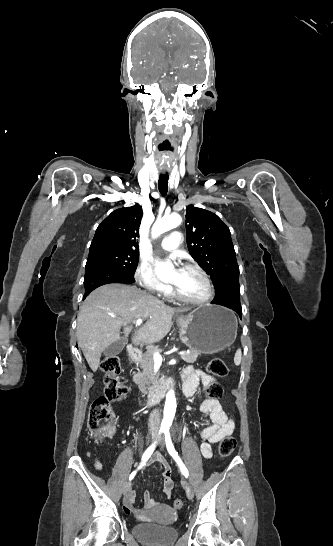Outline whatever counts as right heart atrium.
<instances>
[{
    "label": "right heart atrium",
    "mask_w": 333,
    "mask_h": 546,
    "mask_svg": "<svg viewBox=\"0 0 333 546\" xmlns=\"http://www.w3.org/2000/svg\"><path fill=\"white\" fill-rule=\"evenodd\" d=\"M135 279L141 287L152 293L166 294L169 291V287L157 278L152 265L148 262L139 264L135 271Z\"/></svg>",
    "instance_id": "right-heart-atrium-1"
}]
</instances>
